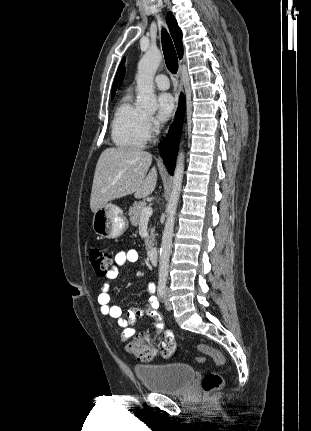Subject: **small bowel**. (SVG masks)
Masks as SVG:
<instances>
[{
    "instance_id": "c3829d8e",
    "label": "small bowel",
    "mask_w": 311,
    "mask_h": 431,
    "mask_svg": "<svg viewBox=\"0 0 311 431\" xmlns=\"http://www.w3.org/2000/svg\"><path fill=\"white\" fill-rule=\"evenodd\" d=\"M137 263H139V254L135 249L118 252L114 257V263L111 266V269L106 275L107 282L109 283L115 280L119 276L120 269L122 267L128 264ZM147 290L150 295L147 298L144 306L130 309L126 313L123 312L121 307L111 305V298L108 292V284H104L102 286L101 291L97 296V302L100 306L101 313L103 315H107L114 319H117L118 325L123 328L121 334V339L123 341L134 335V329L132 328V326L137 323L138 318H141L143 316H148L154 319L156 329H163L162 317L158 312L159 300L154 295L155 285L153 283H149ZM142 336L147 338L146 335ZM165 336L166 338H173V334L171 331H167L165 333Z\"/></svg>"
}]
</instances>
